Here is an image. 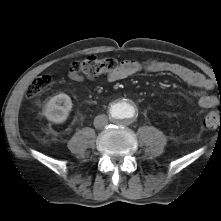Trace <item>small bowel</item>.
<instances>
[{
  "mask_svg": "<svg viewBox=\"0 0 221 221\" xmlns=\"http://www.w3.org/2000/svg\"><path fill=\"white\" fill-rule=\"evenodd\" d=\"M142 70L149 72L169 73L187 84L196 87L198 89V105L201 108L209 109L213 108L217 104L216 97L207 94V91L211 90L214 86L212 80L197 71L178 64L158 61H148L143 63L137 60H126L121 63L117 71L109 76L108 80L112 82L122 80ZM68 77L70 80L75 82L83 81V77L73 70L69 71Z\"/></svg>",
  "mask_w": 221,
  "mask_h": 221,
  "instance_id": "obj_1",
  "label": "small bowel"
}]
</instances>
